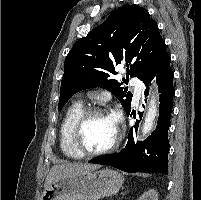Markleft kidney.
<instances>
[{"label":"left kidney","mask_w":201,"mask_h":200,"mask_svg":"<svg viewBox=\"0 0 201 200\" xmlns=\"http://www.w3.org/2000/svg\"><path fill=\"white\" fill-rule=\"evenodd\" d=\"M137 200H158V193L155 189H149L143 193Z\"/></svg>","instance_id":"1"}]
</instances>
